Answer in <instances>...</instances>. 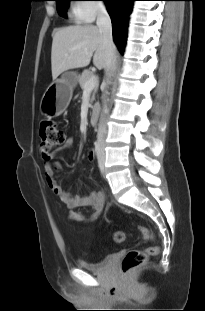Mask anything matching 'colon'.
<instances>
[{
    "label": "colon",
    "instance_id": "5ec220e1",
    "mask_svg": "<svg viewBox=\"0 0 205 311\" xmlns=\"http://www.w3.org/2000/svg\"><path fill=\"white\" fill-rule=\"evenodd\" d=\"M39 137L40 152L44 158H49L51 152L59 148L66 140L64 129L53 121H47L41 125ZM139 231L144 239H152L153 235L149 229L139 227ZM124 239L125 236L123 232L118 231L114 233V240L117 243L123 242ZM158 251V247L155 246L149 247L143 251L137 249L130 250L121 262L122 272L127 273L144 264L149 256L156 255Z\"/></svg>",
    "mask_w": 205,
    "mask_h": 311
}]
</instances>
